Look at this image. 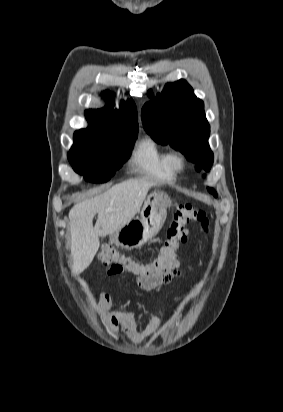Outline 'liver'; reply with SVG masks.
Masks as SVG:
<instances>
[{"label": "liver", "mask_w": 283, "mask_h": 412, "mask_svg": "<svg viewBox=\"0 0 283 412\" xmlns=\"http://www.w3.org/2000/svg\"><path fill=\"white\" fill-rule=\"evenodd\" d=\"M155 183L149 179H130L104 193L74 205L69 212L71 234V271L82 273L99 249V237L112 235L139 212ZM112 208L113 211L106 212ZM98 214L95 226L93 218Z\"/></svg>", "instance_id": "obj_1"}]
</instances>
